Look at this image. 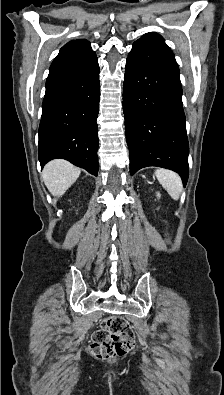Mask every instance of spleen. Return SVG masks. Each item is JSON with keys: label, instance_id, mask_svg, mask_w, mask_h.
Segmentation results:
<instances>
[{"label": "spleen", "instance_id": "1", "mask_svg": "<svg viewBox=\"0 0 224 395\" xmlns=\"http://www.w3.org/2000/svg\"><path fill=\"white\" fill-rule=\"evenodd\" d=\"M155 175L159 183L168 192V194L174 199L178 200L183 190L182 180L180 176L167 169H157Z\"/></svg>", "mask_w": 224, "mask_h": 395}]
</instances>
